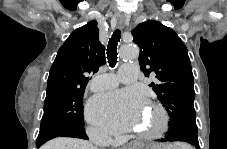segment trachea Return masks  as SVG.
<instances>
[{
    "instance_id": "3493384b",
    "label": "trachea",
    "mask_w": 227,
    "mask_h": 149,
    "mask_svg": "<svg viewBox=\"0 0 227 149\" xmlns=\"http://www.w3.org/2000/svg\"><path fill=\"white\" fill-rule=\"evenodd\" d=\"M120 34L119 29L115 30L107 45V59L110 67H115L117 63V46L121 38Z\"/></svg>"
}]
</instances>
